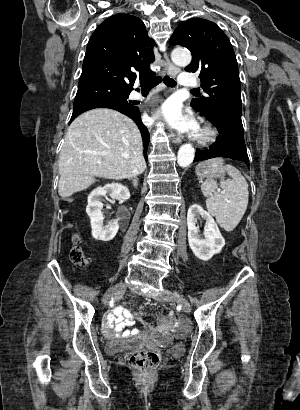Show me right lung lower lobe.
Masks as SVG:
<instances>
[{
  "label": "right lung lower lobe",
  "instance_id": "1",
  "mask_svg": "<svg viewBox=\"0 0 300 410\" xmlns=\"http://www.w3.org/2000/svg\"><path fill=\"white\" fill-rule=\"evenodd\" d=\"M94 108L114 109V110H117L127 115L129 118H131L137 124L141 132L143 142H144V157L147 161L146 154H147V148H148V143H149V132H148V129L145 127V125L141 121V115H140L138 107L132 104L124 105V104H117V103H112L108 101H95V102H91V103H87L84 105L74 107L71 121L75 119L78 115H80L81 113L87 110H90V109H94Z\"/></svg>",
  "mask_w": 300,
  "mask_h": 410
}]
</instances>
